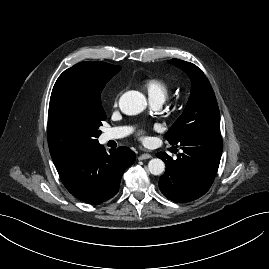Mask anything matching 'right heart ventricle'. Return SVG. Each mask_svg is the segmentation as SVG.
Returning <instances> with one entry per match:
<instances>
[{
    "label": "right heart ventricle",
    "instance_id": "1",
    "mask_svg": "<svg viewBox=\"0 0 269 269\" xmlns=\"http://www.w3.org/2000/svg\"><path fill=\"white\" fill-rule=\"evenodd\" d=\"M144 89L147 91L151 101H164L170 93V85L159 78H148L143 83Z\"/></svg>",
    "mask_w": 269,
    "mask_h": 269
}]
</instances>
